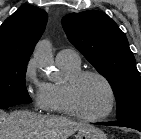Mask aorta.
<instances>
[{"mask_svg":"<svg viewBox=\"0 0 141 139\" xmlns=\"http://www.w3.org/2000/svg\"><path fill=\"white\" fill-rule=\"evenodd\" d=\"M33 59L37 67L43 71H49L53 65L51 43L43 39L38 42L33 52ZM50 75L48 74V77Z\"/></svg>","mask_w":141,"mask_h":139,"instance_id":"obj_1","label":"aorta"}]
</instances>
